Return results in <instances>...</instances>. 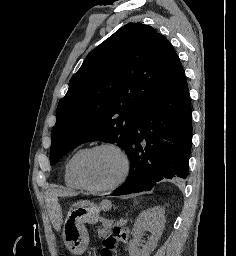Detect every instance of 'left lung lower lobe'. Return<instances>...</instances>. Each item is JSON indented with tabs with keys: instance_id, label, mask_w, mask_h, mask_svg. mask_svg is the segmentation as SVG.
Listing matches in <instances>:
<instances>
[{
	"instance_id": "left-lung-lower-lobe-1",
	"label": "left lung lower lobe",
	"mask_w": 236,
	"mask_h": 256,
	"mask_svg": "<svg viewBox=\"0 0 236 256\" xmlns=\"http://www.w3.org/2000/svg\"><path fill=\"white\" fill-rule=\"evenodd\" d=\"M192 114L185 73L137 117L127 153L130 174L111 195L150 191L163 179L185 180L192 145Z\"/></svg>"
}]
</instances>
